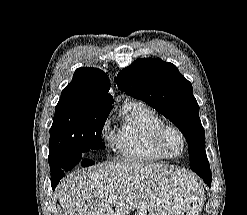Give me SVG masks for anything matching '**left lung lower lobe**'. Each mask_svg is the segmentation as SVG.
I'll list each match as a JSON object with an SVG mask.
<instances>
[{
  "mask_svg": "<svg viewBox=\"0 0 247 215\" xmlns=\"http://www.w3.org/2000/svg\"><path fill=\"white\" fill-rule=\"evenodd\" d=\"M191 170L197 173L209 187L211 186L212 174L208 160L203 161L201 164L197 165Z\"/></svg>",
  "mask_w": 247,
  "mask_h": 215,
  "instance_id": "left-lung-lower-lobe-1",
  "label": "left lung lower lobe"
}]
</instances>
